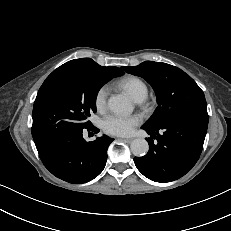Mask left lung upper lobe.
<instances>
[{
  "label": "left lung upper lobe",
  "instance_id": "left-lung-upper-lobe-1",
  "mask_svg": "<svg viewBox=\"0 0 231 231\" xmlns=\"http://www.w3.org/2000/svg\"><path fill=\"white\" fill-rule=\"evenodd\" d=\"M122 69L144 78L156 93L158 107L144 126L158 127L187 113H207L203 91L181 69L153 61H145L138 66Z\"/></svg>",
  "mask_w": 231,
  "mask_h": 231
}]
</instances>
